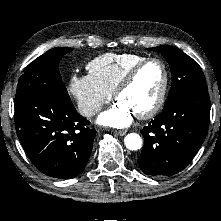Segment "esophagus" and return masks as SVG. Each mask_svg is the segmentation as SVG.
Masks as SVG:
<instances>
[{"label":"esophagus","mask_w":221,"mask_h":221,"mask_svg":"<svg viewBox=\"0 0 221 221\" xmlns=\"http://www.w3.org/2000/svg\"><path fill=\"white\" fill-rule=\"evenodd\" d=\"M114 133L119 136H124L126 134V131L125 130H115Z\"/></svg>","instance_id":"obj_1"}]
</instances>
